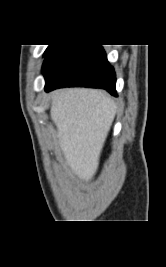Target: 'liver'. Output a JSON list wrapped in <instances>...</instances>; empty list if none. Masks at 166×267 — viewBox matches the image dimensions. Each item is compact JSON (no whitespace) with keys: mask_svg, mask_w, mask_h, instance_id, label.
I'll list each match as a JSON object with an SVG mask.
<instances>
[{"mask_svg":"<svg viewBox=\"0 0 166 267\" xmlns=\"http://www.w3.org/2000/svg\"><path fill=\"white\" fill-rule=\"evenodd\" d=\"M51 119L66 163L85 182L97 172L99 158L116 114L110 97L84 88L52 93Z\"/></svg>","mask_w":166,"mask_h":267,"instance_id":"liver-1","label":"liver"}]
</instances>
